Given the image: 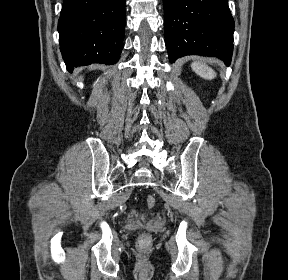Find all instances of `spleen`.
<instances>
[{"label":"spleen","mask_w":288,"mask_h":280,"mask_svg":"<svg viewBox=\"0 0 288 280\" xmlns=\"http://www.w3.org/2000/svg\"><path fill=\"white\" fill-rule=\"evenodd\" d=\"M192 70L200 75L202 78L212 80L216 77V72L209 66L200 62H193L191 64Z\"/></svg>","instance_id":"obj_1"}]
</instances>
